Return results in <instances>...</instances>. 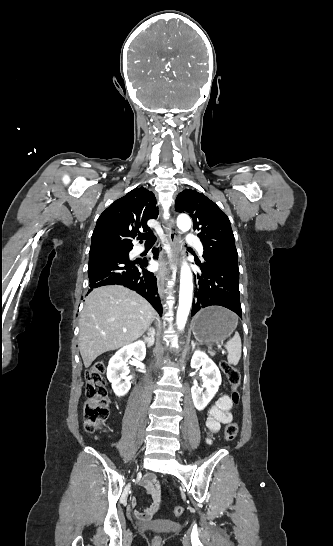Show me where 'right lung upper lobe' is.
<instances>
[{
  "mask_svg": "<svg viewBox=\"0 0 333 546\" xmlns=\"http://www.w3.org/2000/svg\"><path fill=\"white\" fill-rule=\"evenodd\" d=\"M158 207L154 194L136 188L114 201L98 218L92 234L91 248L133 247L132 239L139 232L149 230L147 221L156 219Z\"/></svg>",
  "mask_w": 333,
  "mask_h": 546,
  "instance_id": "cb5924a9",
  "label": "right lung upper lobe"
}]
</instances>
